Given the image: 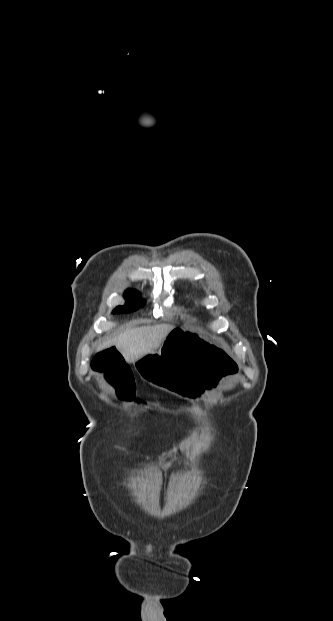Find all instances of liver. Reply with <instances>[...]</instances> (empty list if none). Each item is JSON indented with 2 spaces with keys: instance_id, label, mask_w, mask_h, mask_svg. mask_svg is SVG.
Masks as SVG:
<instances>
[{
  "instance_id": "obj_1",
  "label": "liver",
  "mask_w": 333,
  "mask_h": 621,
  "mask_svg": "<svg viewBox=\"0 0 333 621\" xmlns=\"http://www.w3.org/2000/svg\"><path fill=\"white\" fill-rule=\"evenodd\" d=\"M172 329L173 326L167 324L127 329L117 337L100 343L97 351L115 345L126 362L134 363L146 354L154 353Z\"/></svg>"
}]
</instances>
